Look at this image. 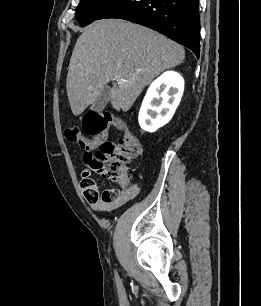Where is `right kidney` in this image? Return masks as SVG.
<instances>
[{
	"instance_id": "1",
	"label": "right kidney",
	"mask_w": 261,
	"mask_h": 306,
	"mask_svg": "<svg viewBox=\"0 0 261 306\" xmlns=\"http://www.w3.org/2000/svg\"><path fill=\"white\" fill-rule=\"evenodd\" d=\"M184 91V79L175 71L158 77L147 90L140 108L138 121L141 128L155 132L173 117Z\"/></svg>"
}]
</instances>
